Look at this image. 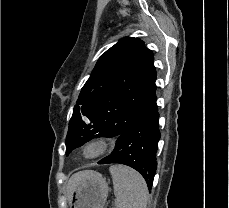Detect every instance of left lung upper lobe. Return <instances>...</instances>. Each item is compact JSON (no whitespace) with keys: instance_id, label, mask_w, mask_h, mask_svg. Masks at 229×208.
Masks as SVG:
<instances>
[{"instance_id":"5c2ea615","label":"left lung upper lobe","mask_w":229,"mask_h":208,"mask_svg":"<svg viewBox=\"0 0 229 208\" xmlns=\"http://www.w3.org/2000/svg\"><path fill=\"white\" fill-rule=\"evenodd\" d=\"M145 43L126 37L97 61L81 89L66 137V155L98 133L119 136L156 104V68Z\"/></svg>"}]
</instances>
